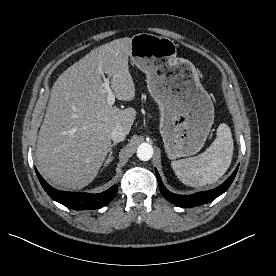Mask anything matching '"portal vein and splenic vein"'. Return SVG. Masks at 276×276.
<instances>
[{"label": "portal vein and splenic vein", "instance_id": "obj_1", "mask_svg": "<svg viewBox=\"0 0 276 276\" xmlns=\"http://www.w3.org/2000/svg\"><path fill=\"white\" fill-rule=\"evenodd\" d=\"M102 87L106 90L107 92V103L108 105L112 106L115 102V94L110 88V83L109 80L106 79L105 82L102 84Z\"/></svg>", "mask_w": 276, "mask_h": 276}]
</instances>
